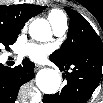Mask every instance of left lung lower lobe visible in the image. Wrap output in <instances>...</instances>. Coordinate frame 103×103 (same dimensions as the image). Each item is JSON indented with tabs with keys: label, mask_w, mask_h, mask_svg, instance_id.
I'll return each mask as SVG.
<instances>
[{
	"label": "left lung lower lobe",
	"mask_w": 103,
	"mask_h": 103,
	"mask_svg": "<svg viewBox=\"0 0 103 103\" xmlns=\"http://www.w3.org/2000/svg\"><path fill=\"white\" fill-rule=\"evenodd\" d=\"M87 55L76 56L66 64L51 60L60 70L71 71L66 72L67 85L56 94H45L44 103H86L89 100L102 76V45H90Z\"/></svg>",
	"instance_id": "obj_1"
}]
</instances>
